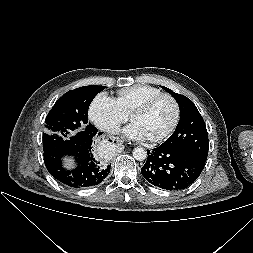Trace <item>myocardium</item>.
<instances>
[{
    "instance_id": "f54148a6",
    "label": "myocardium",
    "mask_w": 253,
    "mask_h": 253,
    "mask_svg": "<svg viewBox=\"0 0 253 253\" xmlns=\"http://www.w3.org/2000/svg\"><path fill=\"white\" fill-rule=\"evenodd\" d=\"M162 98H168L173 106H174V119L172 124L170 125V127L160 136L158 137H154V138H149L150 141L155 142V143H159L162 142L164 140H166L167 138H169L173 132L176 130L179 122H180V117H181V110H180V106L179 103L177 101V99L169 93H159L149 99H147L146 101H144L141 105H139L130 115V119L131 121L134 120V118H136L137 116L143 115L146 112H148L151 107L160 99Z\"/></svg>"
}]
</instances>
